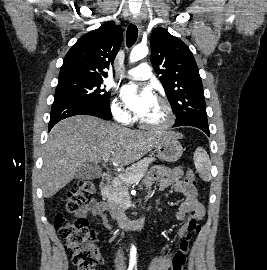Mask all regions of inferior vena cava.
Listing matches in <instances>:
<instances>
[{
    "label": "inferior vena cava",
    "instance_id": "1",
    "mask_svg": "<svg viewBox=\"0 0 267 270\" xmlns=\"http://www.w3.org/2000/svg\"><path fill=\"white\" fill-rule=\"evenodd\" d=\"M118 259H119V261H121V263H123V262H124V258H123V256H122V255H120V254H119Z\"/></svg>",
    "mask_w": 267,
    "mask_h": 270
}]
</instances>
